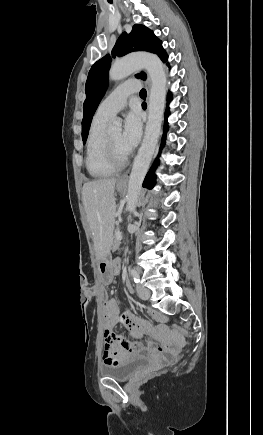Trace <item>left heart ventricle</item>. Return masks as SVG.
Segmentation results:
<instances>
[{
  "label": "left heart ventricle",
  "mask_w": 263,
  "mask_h": 435,
  "mask_svg": "<svg viewBox=\"0 0 263 435\" xmlns=\"http://www.w3.org/2000/svg\"><path fill=\"white\" fill-rule=\"evenodd\" d=\"M110 141L113 144L114 148L116 149V151L122 155L125 154V151L122 148V144H121V138H122V134L120 131L117 132H113L110 133L109 135Z\"/></svg>",
  "instance_id": "left-heart-ventricle-1"
}]
</instances>
